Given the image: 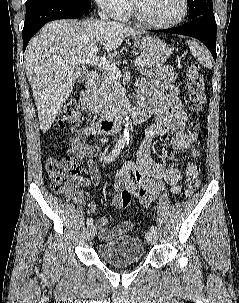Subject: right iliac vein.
I'll return each mask as SVG.
<instances>
[{
	"label": "right iliac vein",
	"instance_id": "right-iliac-vein-1",
	"mask_svg": "<svg viewBox=\"0 0 239 303\" xmlns=\"http://www.w3.org/2000/svg\"><path fill=\"white\" fill-rule=\"evenodd\" d=\"M96 226L95 225H89L88 228H87V239L88 240H91L94 238L95 234H96Z\"/></svg>",
	"mask_w": 239,
	"mask_h": 303
}]
</instances>
